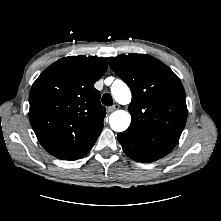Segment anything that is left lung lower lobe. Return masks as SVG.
Segmentation results:
<instances>
[{"label":"left lung lower lobe","mask_w":221,"mask_h":221,"mask_svg":"<svg viewBox=\"0 0 221 221\" xmlns=\"http://www.w3.org/2000/svg\"><path fill=\"white\" fill-rule=\"evenodd\" d=\"M117 138L123 147L124 153L127 156H129L130 158H132L133 160L138 161V162H152V161L158 160V158H155L152 155L145 154V153L139 151L138 149H136L135 147H133L128 142L126 137L124 135H122L121 133H119L117 135Z\"/></svg>","instance_id":"obj_1"}]
</instances>
